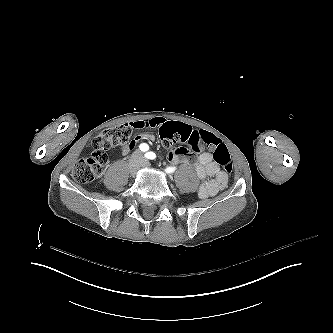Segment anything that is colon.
<instances>
[{
  "mask_svg": "<svg viewBox=\"0 0 333 333\" xmlns=\"http://www.w3.org/2000/svg\"><path fill=\"white\" fill-rule=\"evenodd\" d=\"M133 124H122L103 130L92 141L93 153L78 162L72 168V177L79 183H89L96 180L101 174L107 162L106 151L112 147H125L133 144ZM159 136L166 142L179 141L190 145L195 151L201 152L203 147L200 143L214 147L213 158L229 174L233 169V163L227 146L214 134L202 133L195 126L188 123L178 125L174 121H166L159 129Z\"/></svg>",
  "mask_w": 333,
  "mask_h": 333,
  "instance_id": "obj_1",
  "label": "colon"
}]
</instances>
